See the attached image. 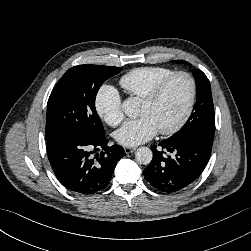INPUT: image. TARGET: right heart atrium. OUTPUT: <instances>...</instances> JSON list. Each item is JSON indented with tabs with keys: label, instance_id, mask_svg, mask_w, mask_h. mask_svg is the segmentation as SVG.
Returning <instances> with one entry per match:
<instances>
[{
	"label": "right heart atrium",
	"instance_id": "1",
	"mask_svg": "<svg viewBox=\"0 0 251 251\" xmlns=\"http://www.w3.org/2000/svg\"><path fill=\"white\" fill-rule=\"evenodd\" d=\"M95 108L100 117L109 125L116 126L123 120L121 96L116 88L104 85L95 98Z\"/></svg>",
	"mask_w": 251,
	"mask_h": 251
}]
</instances>
